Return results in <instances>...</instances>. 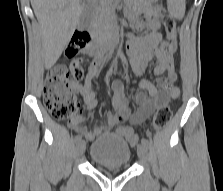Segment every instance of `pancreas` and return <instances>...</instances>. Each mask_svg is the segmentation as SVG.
<instances>
[{"label":"pancreas","instance_id":"pancreas-1","mask_svg":"<svg viewBox=\"0 0 223 191\" xmlns=\"http://www.w3.org/2000/svg\"><path fill=\"white\" fill-rule=\"evenodd\" d=\"M119 0H97L90 9L92 28L98 33L109 30L114 10Z\"/></svg>","mask_w":223,"mask_h":191}]
</instances>
